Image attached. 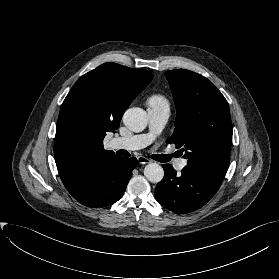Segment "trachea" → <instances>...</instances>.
Wrapping results in <instances>:
<instances>
[{
  "label": "trachea",
  "mask_w": 279,
  "mask_h": 279,
  "mask_svg": "<svg viewBox=\"0 0 279 279\" xmlns=\"http://www.w3.org/2000/svg\"><path fill=\"white\" fill-rule=\"evenodd\" d=\"M172 155H160L158 156V161L160 162H168L171 159Z\"/></svg>",
  "instance_id": "trachea-1"
}]
</instances>
